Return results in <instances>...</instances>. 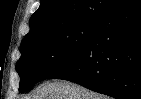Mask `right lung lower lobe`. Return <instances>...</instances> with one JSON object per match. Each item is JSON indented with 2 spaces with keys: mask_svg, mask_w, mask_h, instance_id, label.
<instances>
[{
  "mask_svg": "<svg viewBox=\"0 0 141 99\" xmlns=\"http://www.w3.org/2000/svg\"><path fill=\"white\" fill-rule=\"evenodd\" d=\"M49 79H63L116 99H141V0L99 21L87 45Z\"/></svg>",
  "mask_w": 141,
  "mask_h": 99,
  "instance_id": "1",
  "label": "right lung lower lobe"
}]
</instances>
